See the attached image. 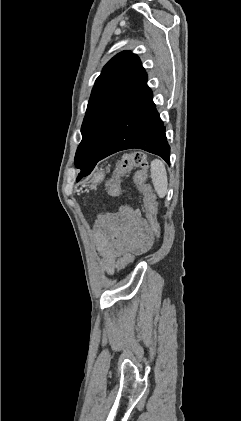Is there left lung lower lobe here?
<instances>
[{
  "instance_id": "0a47b994",
  "label": "left lung lower lobe",
  "mask_w": 241,
  "mask_h": 421,
  "mask_svg": "<svg viewBox=\"0 0 241 421\" xmlns=\"http://www.w3.org/2000/svg\"><path fill=\"white\" fill-rule=\"evenodd\" d=\"M152 98L145 73L122 112L104 151L95 162L80 168L78 180L88 175L98 161L126 149L145 150L162 157L170 164V146L165 127Z\"/></svg>"
}]
</instances>
